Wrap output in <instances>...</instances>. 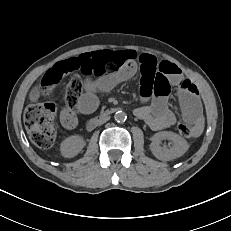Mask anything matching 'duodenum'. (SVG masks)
Here are the masks:
<instances>
[{
    "mask_svg": "<svg viewBox=\"0 0 231 231\" xmlns=\"http://www.w3.org/2000/svg\"><path fill=\"white\" fill-rule=\"evenodd\" d=\"M118 110L117 107H108L106 108L102 113H100L99 115L91 118L90 120H88L86 122V129L87 130H92L94 129L97 125H99V123L101 122V119L106 117V116H110L113 113H115Z\"/></svg>",
    "mask_w": 231,
    "mask_h": 231,
    "instance_id": "obj_1",
    "label": "duodenum"
}]
</instances>
